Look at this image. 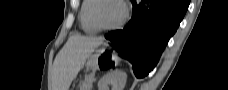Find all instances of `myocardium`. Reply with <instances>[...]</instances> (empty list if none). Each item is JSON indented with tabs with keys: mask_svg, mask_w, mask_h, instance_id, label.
Masks as SVG:
<instances>
[{
	"mask_svg": "<svg viewBox=\"0 0 228 90\" xmlns=\"http://www.w3.org/2000/svg\"><path fill=\"white\" fill-rule=\"evenodd\" d=\"M105 1H114L116 3H119L121 5L122 11H123L122 17L120 18V20L117 23L110 25V26L103 25L97 18V9H98L99 5ZM127 18H128V8L122 0H96V3L91 10L92 22L99 30H103V31H110V30H115L117 28H120L127 21Z\"/></svg>",
	"mask_w": 228,
	"mask_h": 90,
	"instance_id": "f54148a6",
	"label": "myocardium"
}]
</instances>
